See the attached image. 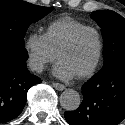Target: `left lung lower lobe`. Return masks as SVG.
I'll list each match as a JSON object with an SVG mask.
<instances>
[{"label": "left lung lower lobe", "instance_id": "obj_1", "mask_svg": "<svg viewBox=\"0 0 125 125\" xmlns=\"http://www.w3.org/2000/svg\"><path fill=\"white\" fill-rule=\"evenodd\" d=\"M83 101L64 113L70 125H117L125 119V58L104 65L83 87Z\"/></svg>", "mask_w": 125, "mask_h": 125}]
</instances>
